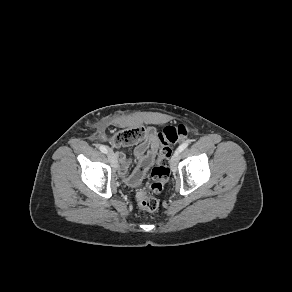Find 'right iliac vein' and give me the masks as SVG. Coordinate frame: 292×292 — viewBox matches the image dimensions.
Instances as JSON below:
<instances>
[{
	"instance_id": "right-iliac-vein-1",
	"label": "right iliac vein",
	"mask_w": 292,
	"mask_h": 292,
	"mask_svg": "<svg viewBox=\"0 0 292 292\" xmlns=\"http://www.w3.org/2000/svg\"><path fill=\"white\" fill-rule=\"evenodd\" d=\"M108 159H109L110 163L112 164L113 168L116 169L117 168V158L112 151L108 152Z\"/></svg>"
}]
</instances>
